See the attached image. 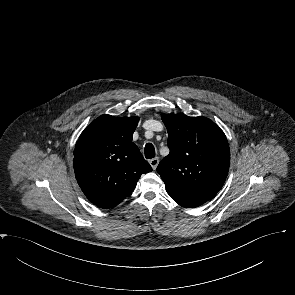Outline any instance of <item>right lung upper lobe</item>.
I'll return each mask as SVG.
<instances>
[{
  "label": "right lung upper lobe",
  "instance_id": "1",
  "mask_svg": "<svg viewBox=\"0 0 295 295\" xmlns=\"http://www.w3.org/2000/svg\"><path fill=\"white\" fill-rule=\"evenodd\" d=\"M139 117L102 115L80 135L74 150V171L86 197L104 209L117 206L152 171L132 136Z\"/></svg>",
  "mask_w": 295,
  "mask_h": 295
}]
</instances>
